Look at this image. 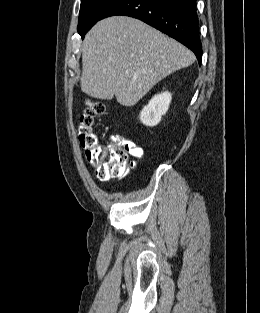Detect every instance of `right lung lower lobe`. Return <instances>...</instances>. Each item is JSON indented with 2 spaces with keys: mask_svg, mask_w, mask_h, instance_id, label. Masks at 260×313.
I'll return each instance as SVG.
<instances>
[{
  "mask_svg": "<svg viewBox=\"0 0 260 313\" xmlns=\"http://www.w3.org/2000/svg\"><path fill=\"white\" fill-rule=\"evenodd\" d=\"M115 15L140 19L175 38L191 49L201 63L196 0H117L101 19Z\"/></svg>",
  "mask_w": 260,
  "mask_h": 313,
  "instance_id": "98d812e1",
  "label": "right lung lower lobe"
}]
</instances>
